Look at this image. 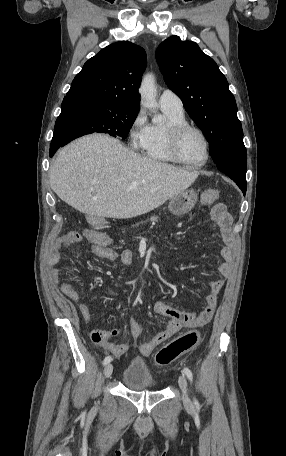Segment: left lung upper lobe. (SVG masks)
I'll list each match as a JSON object with an SVG mask.
<instances>
[{
    "label": "left lung upper lobe",
    "mask_w": 286,
    "mask_h": 456,
    "mask_svg": "<svg viewBox=\"0 0 286 456\" xmlns=\"http://www.w3.org/2000/svg\"><path fill=\"white\" fill-rule=\"evenodd\" d=\"M155 55L167 86L206 136L215 164L246 163L235 98L216 62L195 42L181 41L175 35L163 41Z\"/></svg>",
    "instance_id": "obj_1"
}]
</instances>
